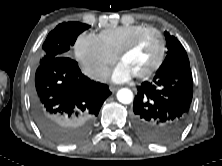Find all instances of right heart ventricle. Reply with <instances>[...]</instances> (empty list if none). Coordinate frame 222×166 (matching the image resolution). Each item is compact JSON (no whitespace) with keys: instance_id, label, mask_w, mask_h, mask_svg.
Wrapping results in <instances>:
<instances>
[{"instance_id":"e07e8e85","label":"right heart ventricle","mask_w":222,"mask_h":166,"mask_svg":"<svg viewBox=\"0 0 222 166\" xmlns=\"http://www.w3.org/2000/svg\"><path fill=\"white\" fill-rule=\"evenodd\" d=\"M143 24L127 25L101 31L97 38L104 48L114 56L127 45L137 34L147 29Z\"/></svg>"}]
</instances>
